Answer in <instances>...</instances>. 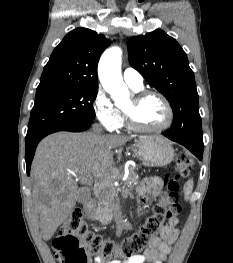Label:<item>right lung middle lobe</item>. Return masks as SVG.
I'll use <instances>...</instances> for the list:
<instances>
[{"label": "right lung middle lobe", "instance_id": "right-lung-middle-lobe-1", "mask_svg": "<svg viewBox=\"0 0 233 263\" xmlns=\"http://www.w3.org/2000/svg\"><path fill=\"white\" fill-rule=\"evenodd\" d=\"M98 87H75L36 95L26 137L58 124L93 120Z\"/></svg>", "mask_w": 233, "mask_h": 263}]
</instances>
